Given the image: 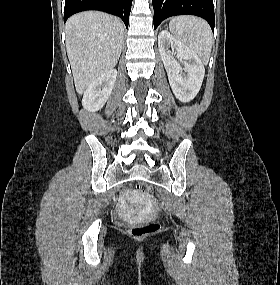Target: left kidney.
<instances>
[{
	"instance_id": "5707ae66",
	"label": "left kidney",
	"mask_w": 280,
	"mask_h": 285,
	"mask_svg": "<svg viewBox=\"0 0 280 285\" xmlns=\"http://www.w3.org/2000/svg\"><path fill=\"white\" fill-rule=\"evenodd\" d=\"M158 48L176 98L182 102L193 100L201 88L205 75L201 59L166 30L158 35ZM178 60L184 62V68ZM182 71L186 76L181 74Z\"/></svg>"
}]
</instances>
